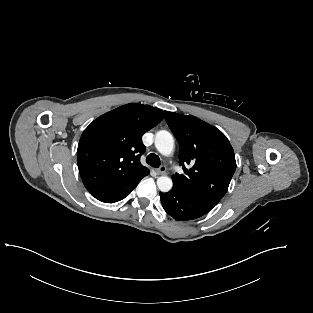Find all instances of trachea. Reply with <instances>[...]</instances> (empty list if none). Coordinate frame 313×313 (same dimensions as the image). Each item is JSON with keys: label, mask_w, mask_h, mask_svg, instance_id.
Returning a JSON list of instances; mask_svg holds the SVG:
<instances>
[{"label": "trachea", "mask_w": 313, "mask_h": 313, "mask_svg": "<svg viewBox=\"0 0 313 313\" xmlns=\"http://www.w3.org/2000/svg\"><path fill=\"white\" fill-rule=\"evenodd\" d=\"M146 162L154 168H158L161 163L159 157L154 153H150L147 156Z\"/></svg>", "instance_id": "3493384b"}]
</instances>
